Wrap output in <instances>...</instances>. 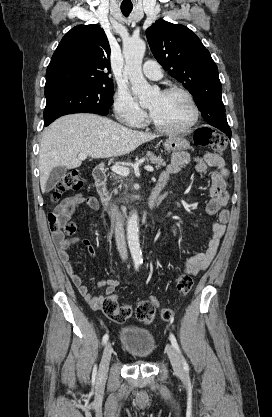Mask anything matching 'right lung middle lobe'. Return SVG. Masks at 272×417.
I'll return each instance as SVG.
<instances>
[{
    "label": "right lung middle lobe",
    "mask_w": 272,
    "mask_h": 417,
    "mask_svg": "<svg viewBox=\"0 0 272 417\" xmlns=\"http://www.w3.org/2000/svg\"><path fill=\"white\" fill-rule=\"evenodd\" d=\"M44 124L60 116L87 111L107 115L113 104V84L108 86L61 87L45 91Z\"/></svg>",
    "instance_id": "1"
}]
</instances>
